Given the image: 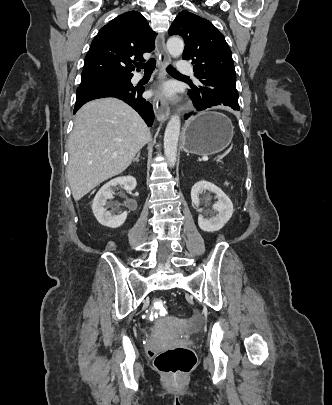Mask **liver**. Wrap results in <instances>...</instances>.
I'll return each mask as SVG.
<instances>
[{
	"mask_svg": "<svg viewBox=\"0 0 332 405\" xmlns=\"http://www.w3.org/2000/svg\"><path fill=\"white\" fill-rule=\"evenodd\" d=\"M149 140L143 119L121 100L96 99L83 105L68 142L66 173L74 200L127 169Z\"/></svg>",
	"mask_w": 332,
	"mask_h": 405,
	"instance_id": "6515ba94",
	"label": "liver"
}]
</instances>
